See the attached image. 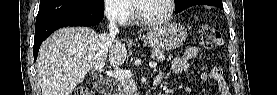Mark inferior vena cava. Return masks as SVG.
<instances>
[{
	"label": "inferior vena cava",
	"instance_id": "602c4592",
	"mask_svg": "<svg viewBox=\"0 0 277 95\" xmlns=\"http://www.w3.org/2000/svg\"><path fill=\"white\" fill-rule=\"evenodd\" d=\"M109 34L112 38H115V36L117 35V33L119 32L118 26L115 22V20L113 18L110 19V23H109Z\"/></svg>",
	"mask_w": 277,
	"mask_h": 95
}]
</instances>
